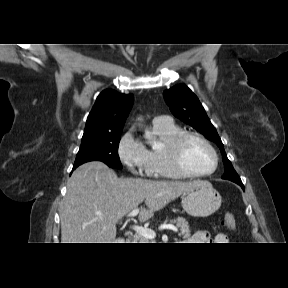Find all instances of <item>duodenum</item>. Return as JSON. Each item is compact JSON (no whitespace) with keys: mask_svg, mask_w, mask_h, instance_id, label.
<instances>
[{"mask_svg":"<svg viewBox=\"0 0 288 288\" xmlns=\"http://www.w3.org/2000/svg\"><path fill=\"white\" fill-rule=\"evenodd\" d=\"M120 243H129L130 240L128 238H121L120 240Z\"/></svg>","mask_w":288,"mask_h":288,"instance_id":"duodenum-1","label":"duodenum"}]
</instances>
